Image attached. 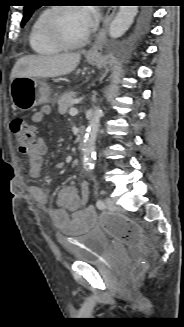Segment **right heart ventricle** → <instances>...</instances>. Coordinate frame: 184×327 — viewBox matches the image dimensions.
I'll return each mask as SVG.
<instances>
[{"label": "right heart ventricle", "instance_id": "right-heart-ventricle-1", "mask_svg": "<svg viewBox=\"0 0 184 327\" xmlns=\"http://www.w3.org/2000/svg\"><path fill=\"white\" fill-rule=\"evenodd\" d=\"M49 9L41 11L33 20L29 30V44L31 49L40 55H54L60 53L63 48L53 43L44 31V19Z\"/></svg>", "mask_w": 184, "mask_h": 327}]
</instances>
